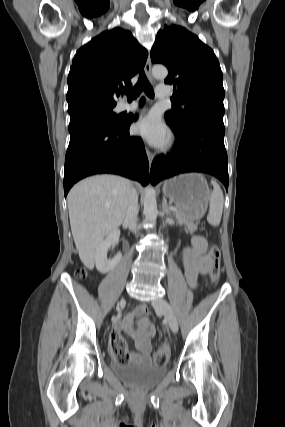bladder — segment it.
Returning a JSON list of instances; mask_svg holds the SVG:
<instances>
[{"label": "bladder", "instance_id": "obj_1", "mask_svg": "<svg viewBox=\"0 0 285 427\" xmlns=\"http://www.w3.org/2000/svg\"><path fill=\"white\" fill-rule=\"evenodd\" d=\"M112 369L121 379L142 389L154 387L167 372L164 366L141 362H114Z\"/></svg>", "mask_w": 285, "mask_h": 427}]
</instances>
